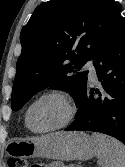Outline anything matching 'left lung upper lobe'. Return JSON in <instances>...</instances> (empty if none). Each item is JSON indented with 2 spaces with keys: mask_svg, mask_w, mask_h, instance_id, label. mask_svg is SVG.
<instances>
[{
  "mask_svg": "<svg viewBox=\"0 0 125 167\" xmlns=\"http://www.w3.org/2000/svg\"><path fill=\"white\" fill-rule=\"evenodd\" d=\"M120 11L114 0H50L39 5L21 30L12 110L49 86L70 90L77 103L87 85V73L79 70L95 57Z\"/></svg>",
  "mask_w": 125,
  "mask_h": 167,
  "instance_id": "5c2ea615",
  "label": "left lung upper lobe"
}]
</instances>
